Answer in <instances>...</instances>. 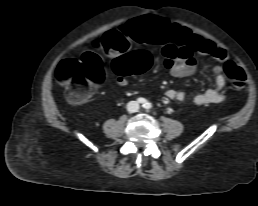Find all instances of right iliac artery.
Instances as JSON below:
<instances>
[{"label":"right iliac artery","instance_id":"1","mask_svg":"<svg viewBox=\"0 0 258 206\" xmlns=\"http://www.w3.org/2000/svg\"><path fill=\"white\" fill-rule=\"evenodd\" d=\"M137 101L143 105L146 104V100L144 98H138Z\"/></svg>","mask_w":258,"mask_h":206}]
</instances>
